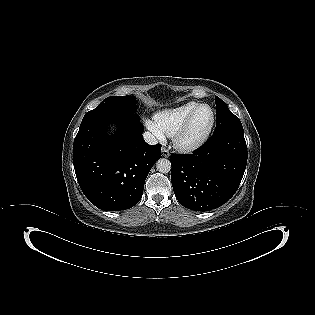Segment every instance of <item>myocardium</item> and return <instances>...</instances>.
I'll return each mask as SVG.
<instances>
[{
    "label": "myocardium",
    "mask_w": 315,
    "mask_h": 315,
    "mask_svg": "<svg viewBox=\"0 0 315 315\" xmlns=\"http://www.w3.org/2000/svg\"><path fill=\"white\" fill-rule=\"evenodd\" d=\"M207 107L210 109L211 114H212V118H211V122L209 127L207 128V130L204 132V134L198 138L195 141L192 142H184L183 138L186 135L195 115L197 114V112L204 108ZM215 121H216V114H215V110L213 109V107L209 104L206 103H202L199 104L189 115L188 117L185 119V121L181 124V126L177 129V131L174 133L173 135V144L174 147L183 153H191L196 151L197 149H199L210 137L213 128L215 126Z\"/></svg>",
    "instance_id": "myocardium-1"
}]
</instances>
